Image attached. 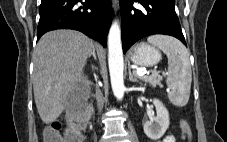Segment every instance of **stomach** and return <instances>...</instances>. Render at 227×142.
<instances>
[{"label": "stomach", "instance_id": "obj_1", "mask_svg": "<svg viewBox=\"0 0 227 142\" xmlns=\"http://www.w3.org/2000/svg\"><path fill=\"white\" fill-rule=\"evenodd\" d=\"M129 57L138 66L150 67L161 60V53L155 47L142 42L130 50Z\"/></svg>", "mask_w": 227, "mask_h": 142}]
</instances>
